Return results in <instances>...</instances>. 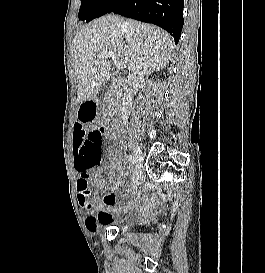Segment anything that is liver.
Returning a JSON list of instances; mask_svg holds the SVG:
<instances>
[{
	"label": "liver",
	"instance_id": "liver-1",
	"mask_svg": "<svg viewBox=\"0 0 265 273\" xmlns=\"http://www.w3.org/2000/svg\"><path fill=\"white\" fill-rule=\"evenodd\" d=\"M71 50L78 83L77 101L82 103L95 97L110 79V62L101 54L112 53L124 59L133 75H149L170 62L173 39L154 25L106 15L82 28L74 37Z\"/></svg>",
	"mask_w": 265,
	"mask_h": 273
}]
</instances>
